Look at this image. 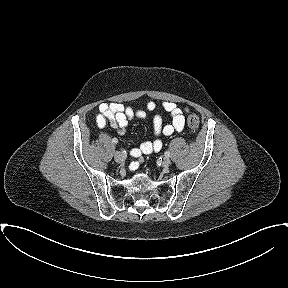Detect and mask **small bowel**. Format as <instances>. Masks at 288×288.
Instances as JSON below:
<instances>
[{
	"label": "small bowel",
	"mask_w": 288,
	"mask_h": 288,
	"mask_svg": "<svg viewBox=\"0 0 288 288\" xmlns=\"http://www.w3.org/2000/svg\"><path fill=\"white\" fill-rule=\"evenodd\" d=\"M162 108L171 116V121L164 123L160 115H155L152 120L154 139L144 141L138 147L131 150V155L135 158H140L142 155L158 152L163 147L161 136H169L174 132H180L185 125L184 114L188 112L187 108H180L176 103L164 101ZM156 109V104L153 101H148L144 109H134L130 106H125L121 103H103L98 108V114L95 121L99 128L106 125L112 129L122 132L127 126L129 120L133 118L143 119L147 113L153 112Z\"/></svg>",
	"instance_id": "c3829d8e"
}]
</instances>
